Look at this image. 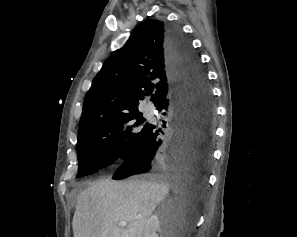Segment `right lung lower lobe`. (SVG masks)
Listing matches in <instances>:
<instances>
[{
	"label": "right lung lower lobe",
	"mask_w": 297,
	"mask_h": 237,
	"mask_svg": "<svg viewBox=\"0 0 297 237\" xmlns=\"http://www.w3.org/2000/svg\"><path fill=\"white\" fill-rule=\"evenodd\" d=\"M166 48L173 79L170 96L159 106L169 131L151 126L146 138L125 158L113 179L145 173L207 174L212 157L214 105L209 84L190 42L178 26L167 25Z\"/></svg>",
	"instance_id": "98d812e1"
}]
</instances>
